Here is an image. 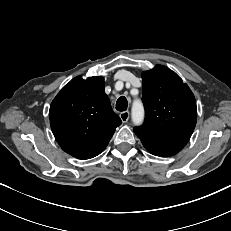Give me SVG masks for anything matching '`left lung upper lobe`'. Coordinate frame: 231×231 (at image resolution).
<instances>
[{
  "mask_svg": "<svg viewBox=\"0 0 231 231\" xmlns=\"http://www.w3.org/2000/svg\"><path fill=\"white\" fill-rule=\"evenodd\" d=\"M145 121L134 132L144 141L178 153L189 141L197 120L195 97L182 79L165 66L145 71Z\"/></svg>",
  "mask_w": 231,
  "mask_h": 231,
  "instance_id": "1",
  "label": "left lung upper lobe"
}]
</instances>
